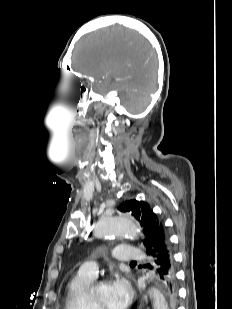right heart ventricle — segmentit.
I'll list each match as a JSON object with an SVG mask.
<instances>
[{
	"instance_id": "e07e8e85",
	"label": "right heart ventricle",
	"mask_w": 232,
	"mask_h": 309,
	"mask_svg": "<svg viewBox=\"0 0 232 309\" xmlns=\"http://www.w3.org/2000/svg\"><path fill=\"white\" fill-rule=\"evenodd\" d=\"M93 280L77 272L66 288L65 309H95L89 291Z\"/></svg>"
}]
</instances>
